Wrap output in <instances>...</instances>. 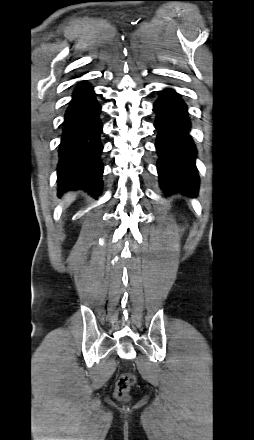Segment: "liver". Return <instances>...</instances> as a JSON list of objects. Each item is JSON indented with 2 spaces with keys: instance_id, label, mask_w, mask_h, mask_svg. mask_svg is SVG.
Wrapping results in <instances>:
<instances>
[{
  "instance_id": "liver-1",
  "label": "liver",
  "mask_w": 254,
  "mask_h": 440,
  "mask_svg": "<svg viewBox=\"0 0 254 440\" xmlns=\"http://www.w3.org/2000/svg\"><path fill=\"white\" fill-rule=\"evenodd\" d=\"M75 198V193H67L64 198H63V202L65 203V205H69Z\"/></svg>"
}]
</instances>
